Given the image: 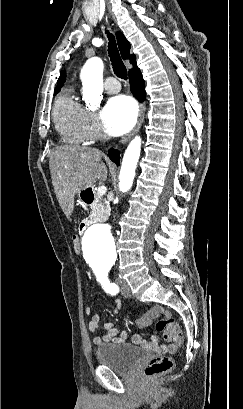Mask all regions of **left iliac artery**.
Instances as JSON below:
<instances>
[{"label":"left iliac artery","mask_w":243,"mask_h":409,"mask_svg":"<svg viewBox=\"0 0 243 409\" xmlns=\"http://www.w3.org/2000/svg\"><path fill=\"white\" fill-rule=\"evenodd\" d=\"M95 275L97 278V281L101 283L103 286L104 290L107 293H110L112 295H115L118 293L119 288L115 283H110V280L108 278V270H96Z\"/></svg>","instance_id":"left-iliac-artery-1"}]
</instances>
